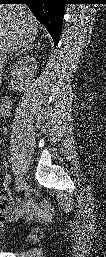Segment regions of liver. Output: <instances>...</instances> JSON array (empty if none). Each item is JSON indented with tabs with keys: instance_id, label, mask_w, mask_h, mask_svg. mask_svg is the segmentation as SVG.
I'll list each match as a JSON object with an SVG mask.
<instances>
[{
	"instance_id": "obj_1",
	"label": "liver",
	"mask_w": 106,
	"mask_h": 257,
	"mask_svg": "<svg viewBox=\"0 0 106 257\" xmlns=\"http://www.w3.org/2000/svg\"><path fill=\"white\" fill-rule=\"evenodd\" d=\"M37 27V20L25 5L0 6L1 56L33 43Z\"/></svg>"
}]
</instances>
